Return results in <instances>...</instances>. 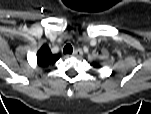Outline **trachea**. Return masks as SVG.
Segmentation results:
<instances>
[{"label":"trachea","instance_id":"1","mask_svg":"<svg viewBox=\"0 0 151 114\" xmlns=\"http://www.w3.org/2000/svg\"><path fill=\"white\" fill-rule=\"evenodd\" d=\"M63 52L65 54H71L73 52V47L70 45V44H67L64 49H63Z\"/></svg>","mask_w":151,"mask_h":114}]
</instances>
